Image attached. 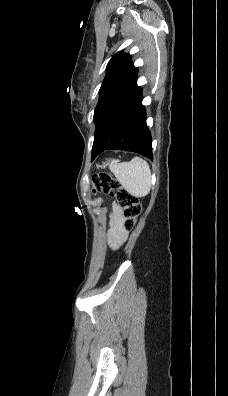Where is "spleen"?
Returning a JSON list of instances; mask_svg holds the SVG:
<instances>
[{
	"label": "spleen",
	"mask_w": 228,
	"mask_h": 396,
	"mask_svg": "<svg viewBox=\"0 0 228 396\" xmlns=\"http://www.w3.org/2000/svg\"><path fill=\"white\" fill-rule=\"evenodd\" d=\"M109 168L130 195L144 197L150 192L151 170L145 160L134 157L130 162L111 163Z\"/></svg>",
	"instance_id": "obj_1"
}]
</instances>
